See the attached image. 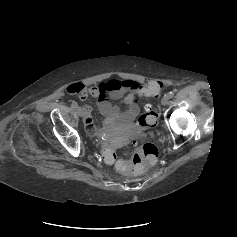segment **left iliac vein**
Here are the masks:
<instances>
[{
  "label": "left iliac vein",
  "mask_w": 237,
  "mask_h": 237,
  "mask_svg": "<svg viewBox=\"0 0 237 237\" xmlns=\"http://www.w3.org/2000/svg\"><path fill=\"white\" fill-rule=\"evenodd\" d=\"M169 102V97L167 95L163 96V98L161 99V104L163 106H166Z\"/></svg>",
  "instance_id": "left-iliac-vein-1"
}]
</instances>
